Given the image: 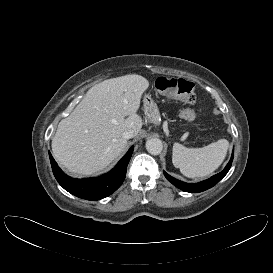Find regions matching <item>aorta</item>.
<instances>
[{
  "label": "aorta",
  "mask_w": 273,
  "mask_h": 273,
  "mask_svg": "<svg viewBox=\"0 0 273 273\" xmlns=\"http://www.w3.org/2000/svg\"><path fill=\"white\" fill-rule=\"evenodd\" d=\"M146 149L152 155H158L163 150V143L158 138L148 139L146 142Z\"/></svg>",
  "instance_id": "aorta-1"
}]
</instances>
